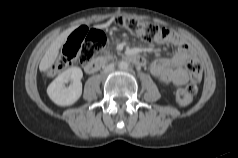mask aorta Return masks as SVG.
Segmentation results:
<instances>
[{
    "instance_id": "aorta-1",
    "label": "aorta",
    "mask_w": 238,
    "mask_h": 158,
    "mask_svg": "<svg viewBox=\"0 0 238 158\" xmlns=\"http://www.w3.org/2000/svg\"><path fill=\"white\" fill-rule=\"evenodd\" d=\"M118 67L120 70H127L129 67V64L126 61H120L118 64Z\"/></svg>"
}]
</instances>
